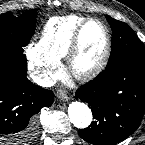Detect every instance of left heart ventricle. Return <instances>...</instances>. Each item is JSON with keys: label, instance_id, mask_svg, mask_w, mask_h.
I'll list each match as a JSON object with an SVG mask.
<instances>
[{"label": "left heart ventricle", "instance_id": "1", "mask_svg": "<svg viewBox=\"0 0 145 145\" xmlns=\"http://www.w3.org/2000/svg\"><path fill=\"white\" fill-rule=\"evenodd\" d=\"M104 46L105 37L100 25L89 24L82 35L81 52L76 60V68L84 70L95 65L102 55Z\"/></svg>", "mask_w": 145, "mask_h": 145}]
</instances>
